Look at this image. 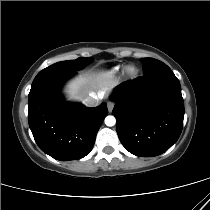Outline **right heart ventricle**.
Returning <instances> with one entry per match:
<instances>
[{
  "mask_svg": "<svg viewBox=\"0 0 210 210\" xmlns=\"http://www.w3.org/2000/svg\"><path fill=\"white\" fill-rule=\"evenodd\" d=\"M118 71V68H115L114 72H117Z\"/></svg>",
  "mask_w": 210,
  "mask_h": 210,
  "instance_id": "e07e8e85",
  "label": "right heart ventricle"
}]
</instances>
